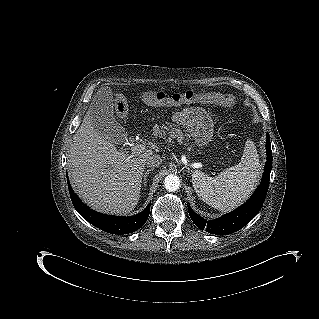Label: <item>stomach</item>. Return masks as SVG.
Listing matches in <instances>:
<instances>
[{"label": "stomach", "instance_id": "0dacf381", "mask_svg": "<svg viewBox=\"0 0 319 319\" xmlns=\"http://www.w3.org/2000/svg\"><path fill=\"white\" fill-rule=\"evenodd\" d=\"M183 126L189 134V137L194 140V145L198 147L197 153L201 154L202 149L207 146L214 133V124L209 116L204 110H194L182 121Z\"/></svg>", "mask_w": 319, "mask_h": 319}]
</instances>
